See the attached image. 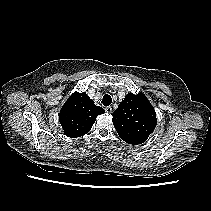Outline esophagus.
I'll use <instances>...</instances> for the list:
<instances>
[{"label":"esophagus","mask_w":211,"mask_h":211,"mask_svg":"<svg viewBox=\"0 0 211 211\" xmlns=\"http://www.w3.org/2000/svg\"><path fill=\"white\" fill-rule=\"evenodd\" d=\"M105 111L107 113L111 114L113 110H112V107L111 106H108V107L105 108Z\"/></svg>","instance_id":"1"}]
</instances>
